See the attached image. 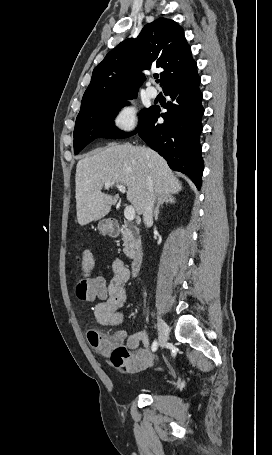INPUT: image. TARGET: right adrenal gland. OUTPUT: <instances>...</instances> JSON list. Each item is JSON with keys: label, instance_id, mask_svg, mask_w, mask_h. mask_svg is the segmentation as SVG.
Segmentation results:
<instances>
[{"label": "right adrenal gland", "instance_id": "1", "mask_svg": "<svg viewBox=\"0 0 272 455\" xmlns=\"http://www.w3.org/2000/svg\"><path fill=\"white\" fill-rule=\"evenodd\" d=\"M176 202L174 196L172 194H163V195H160L158 197V200H157V205L155 207V210H154V218L155 220L158 219V215H159V208L161 205H163L164 203H171V204H174Z\"/></svg>", "mask_w": 272, "mask_h": 455}]
</instances>
